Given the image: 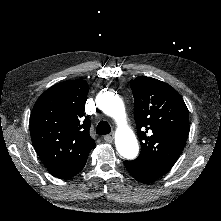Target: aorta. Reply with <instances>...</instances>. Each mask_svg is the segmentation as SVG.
Wrapping results in <instances>:
<instances>
[{
    "mask_svg": "<svg viewBox=\"0 0 221 221\" xmlns=\"http://www.w3.org/2000/svg\"><path fill=\"white\" fill-rule=\"evenodd\" d=\"M100 107L104 114L112 117L118 125L115 133V145L119 154L128 160L135 159L139 153V145L134 132L127 125L122 99L117 95L108 93L103 97Z\"/></svg>",
    "mask_w": 221,
    "mask_h": 221,
    "instance_id": "aorta-1",
    "label": "aorta"
}]
</instances>
